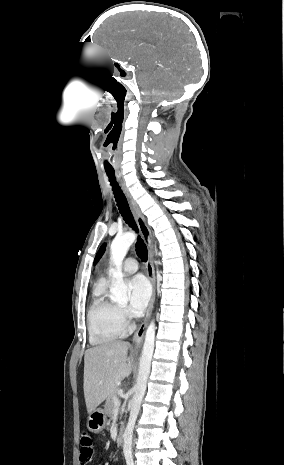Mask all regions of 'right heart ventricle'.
Returning <instances> with one entry per match:
<instances>
[{"mask_svg": "<svg viewBox=\"0 0 284 465\" xmlns=\"http://www.w3.org/2000/svg\"><path fill=\"white\" fill-rule=\"evenodd\" d=\"M124 323L118 307L107 299L103 289L95 291L87 311V328L91 344L107 346L119 340L124 332Z\"/></svg>", "mask_w": 284, "mask_h": 465, "instance_id": "e07e8e85", "label": "right heart ventricle"}]
</instances>
